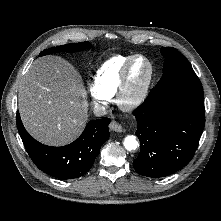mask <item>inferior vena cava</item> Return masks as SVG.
<instances>
[{
  "label": "inferior vena cava",
  "mask_w": 221,
  "mask_h": 221,
  "mask_svg": "<svg viewBox=\"0 0 221 221\" xmlns=\"http://www.w3.org/2000/svg\"><path fill=\"white\" fill-rule=\"evenodd\" d=\"M93 113L97 117H101L107 114V109L105 106L102 105H96L93 108Z\"/></svg>",
  "instance_id": "1"
}]
</instances>
